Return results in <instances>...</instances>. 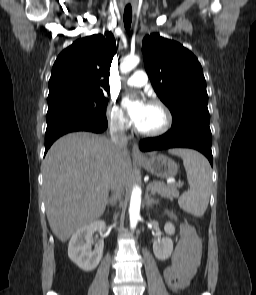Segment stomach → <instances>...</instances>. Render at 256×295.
<instances>
[{"label":"stomach","mask_w":256,"mask_h":295,"mask_svg":"<svg viewBox=\"0 0 256 295\" xmlns=\"http://www.w3.org/2000/svg\"><path fill=\"white\" fill-rule=\"evenodd\" d=\"M139 163L151 174L161 179L173 178L178 172V165L174 160L163 154H150L139 160Z\"/></svg>","instance_id":"obj_1"}]
</instances>
